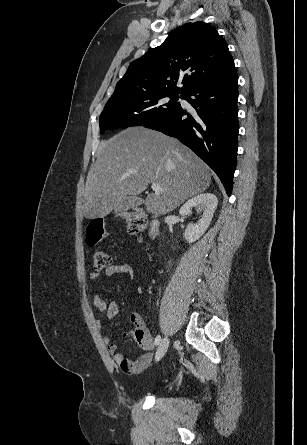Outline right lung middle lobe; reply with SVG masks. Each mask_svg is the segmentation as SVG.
<instances>
[{
    "label": "right lung middle lobe",
    "mask_w": 307,
    "mask_h": 445,
    "mask_svg": "<svg viewBox=\"0 0 307 445\" xmlns=\"http://www.w3.org/2000/svg\"><path fill=\"white\" fill-rule=\"evenodd\" d=\"M178 99L175 94L112 97L100 115V132L103 134L109 129L152 123L179 107Z\"/></svg>",
    "instance_id": "obj_1"
}]
</instances>
